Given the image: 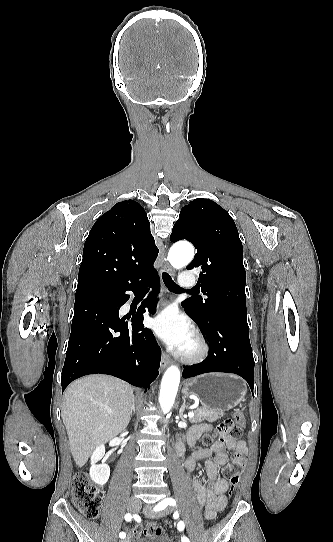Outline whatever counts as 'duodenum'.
<instances>
[{"instance_id": "1", "label": "duodenum", "mask_w": 333, "mask_h": 542, "mask_svg": "<svg viewBox=\"0 0 333 542\" xmlns=\"http://www.w3.org/2000/svg\"><path fill=\"white\" fill-rule=\"evenodd\" d=\"M196 438H197V436L194 433H188L187 436H186V441L188 443H193L196 440ZM182 452H183V445L180 443L178 445V453L182 454Z\"/></svg>"}]
</instances>
